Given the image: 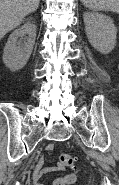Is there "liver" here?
Instances as JSON below:
<instances>
[{"label":"liver","instance_id":"1","mask_svg":"<svg viewBox=\"0 0 119 185\" xmlns=\"http://www.w3.org/2000/svg\"><path fill=\"white\" fill-rule=\"evenodd\" d=\"M40 0H0V40L37 10Z\"/></svg>","mask_w":119,"mask_h":185}]
</instances>
